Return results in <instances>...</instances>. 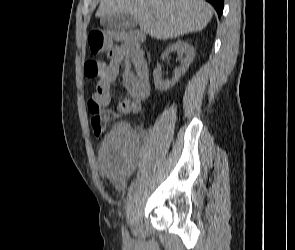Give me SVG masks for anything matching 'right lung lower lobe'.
I'll list each match as a JSON object with an SVG mask.
<instances>
[{
    "mask_svg": "<svg viewBox=\"0 0 295 250\" xmlns=\"http://www.w3.org/2000/svg\"><path fill=\"white\" fill-rule=\"evenodd\" d=\"M206 1L211 3L214 6L215 10L218 13V16L220 17L223 11L224 0H206Z\"/></svg>",
    "mask_w": 295,
    "mask_h": 250,
    "instance_id": "98d812e1",
    "label": "right lung lower lobe"
}]
</instances>
